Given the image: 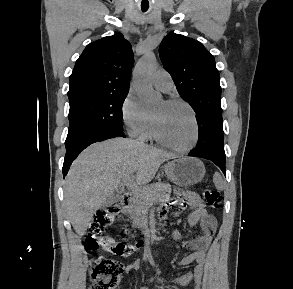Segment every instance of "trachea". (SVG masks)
Segmentation results:
<instances>
[{
	"label": "trachea",
	"instance_id": "1",
	"mask_svg": "<svg viewBox=\"0 0 293 289\" xmlns=\"http://www.w3.org/2000/svg\"><path fill=\"white\" fill-rule=\"evenodd\" d=\"M142 11H143V12H146V11H147V9H142Z\"/></svg>",
	"mask_w": 293,
	"mask_h": 289
}]
</instances>
